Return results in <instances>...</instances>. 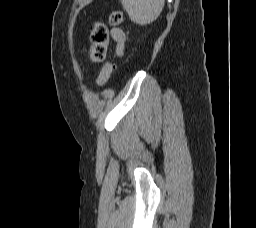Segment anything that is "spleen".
Listing matches in <instances>:
<instances>
[{"instance_id":"obj_1","label":"spleen","mask_w":256,"mask_h":228,"mask_svg":"<svg viewBox=\"0 0 256 228\" xmlns=\"http://www.w3.org/2000/svg\"><path fill=\"white\" fill-rule=\"evenodd\" d=\"M121 3L132 22L147 25L158 18L165 0H121Z\"/></svg>"}]
</instances>
